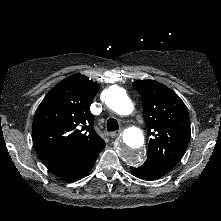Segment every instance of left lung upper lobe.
Here are the masks:
<instances>
[{
    "label": "left lung upper lobe",
    "mask_w": 221,
    "mask_h": 221,
    "mask_svg": "<svg viewBox=\"0 0 221 221\" xmlns=\"http://www.w3.org/2000/svg\"><path fill=\"white\" fill-rule=\"evenodd\" d=\"M132 85L141 94L151 136L146 161L166 174L184 155L191 136L187 108L174 91L157 81L139 80Z\"/></svg>",
    "instance_id": "1"
}]
</instances>
